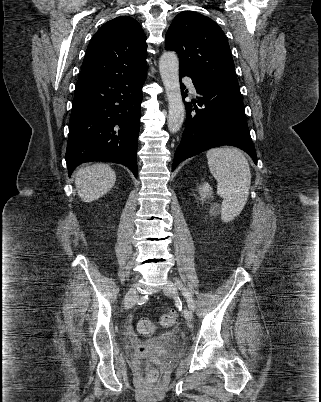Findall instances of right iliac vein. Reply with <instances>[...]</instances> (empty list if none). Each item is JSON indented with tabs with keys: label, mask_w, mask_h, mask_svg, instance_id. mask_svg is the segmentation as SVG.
I'll return each mask as SVG.
<instances>
[{
	"label": "right iliac vein",
	"mask_w": 321,
	"mask_h": 402,
	"mask_svg": "<svg viewBox=\"0 0 321 402\" xmlns=\"http://www.w3.org/2000/svg\"><path fill=\"white\" fill-rule=\"evenodd\" d=\"M137 297V290H136V284H134L128 291L126 297H125V308L129 309L133 305V300L136 299Z\"/></svg>",
	"instance_id": "1"
}]
</instances>
